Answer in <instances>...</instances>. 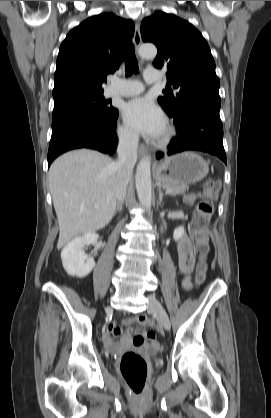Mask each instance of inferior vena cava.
<instances>
[{
	"instance_id": "obj_1",
	"label": "inferior vena cava",
	"mask_w": 271,
	"mask_h": 418,
	"mask_svg": "<svg viewBox=\"0 0 271 418\" xmlns=\"http://www.w3.org/2000/svg\"><path fill=\"white\" fill-rule=\"evenodd\" d=\"M137 146L138 134L136 133L126 135L118 144V161L116 162V197L118 202L125 198L127 185L137 161Z\"/></svg>"
}]
</instances>
